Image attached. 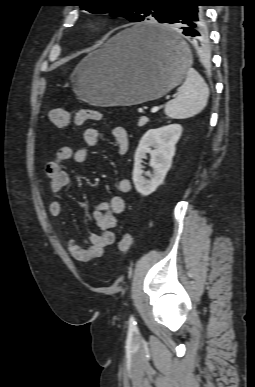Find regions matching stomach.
Wrapping results in <instances>:
<instances>
[{
	"instance_id": "0dacf381",
	"label": "stomach",
	"mask_w": 255,
	"mask_h": 387,
	"mask_svg": "<svg viewBox=\"0 0 255 387\" xmlns=\"http://www.w3.org/2000/svg\"><path fill=\"white\" fill-rule=\"evenodd\" d=\"M156 29L164 30L153 22L134 25L86 56L70 76L78 97L97 106H130L159 99L179 85L190 65L189 47L170 31L179 45L167 52L143 35Z\"/></svg>"
}]
</instances>
